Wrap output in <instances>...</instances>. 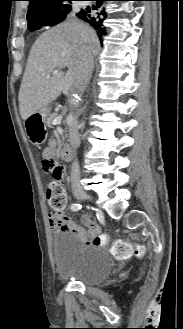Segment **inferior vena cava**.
I'll use <instances>...</instances> for the list:
<instances>
[{"mask_svg": "<svg viewBox=\"0 0 183 329\" xmlns=\"http://www.w3.org/2000/svg\"><path fill=\"white\" fill-rule=\"evenodd\" d=\"M81 75L79 80L78 89L82 92L86 89L90 82L92 71H93V57L88 53L84 52L81 56ZM70 144L74 150L80 146V135L78 130L77 118L74 117L69 127ZM80 179V168L78 161L75 160L71 167V182L72 184H78Z\"/></svg>", "mask_w": 183, "mask_h": 329, "instance_id": "inferior-vena-cava-1", "label": "inferior vena cava"}]
</instances>
